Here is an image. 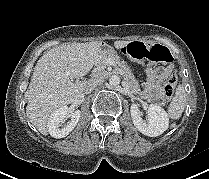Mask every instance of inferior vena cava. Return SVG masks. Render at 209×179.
Returning a JSON list of instances; mask_svg holds the SVG:
<instances>
[{
	"instance_id": "obj_1",
	"label": "inferior vena cava",
	"mask_w": 209,
	"mask_h": 179,
	"mask_svg": "<svg viewBox=\"0 0 209 179\" xmlns=\"http://www.w3.org/2000/svg\"><path fill=\"white\" fill-rule=\"evenodd\" d=\"M103 80L102 79H91L88 81L87 86L85 88V93L89 94L92 92V90L97 87L98 85L102 84Z\"/></svg>"
}]
</instances>
